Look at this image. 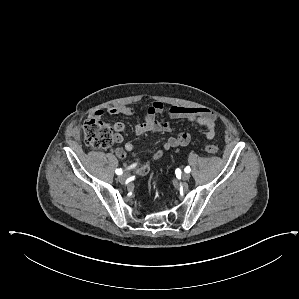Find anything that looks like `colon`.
Wrapping results in <instances>:
<instances>
[{"mask_svg": "<svg viewBox=\"0 0 299 299\" xmlns=\"http://www.w3.org/2000/svg\"><path fill=\"white\" fill-rule=\"evenodd\" d=\"M83 133L86 144L95 149H108L115 140L111 125L101 119L86 121L83 125ZM205 149L211 154L218 152V147L211 142L206 143Z\"/></svg>", "mask_w": 299, "mask_h": 299, "instance_id": "1", "label": "colon"}]
</instances>
